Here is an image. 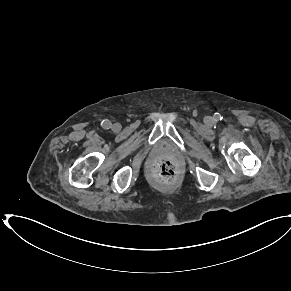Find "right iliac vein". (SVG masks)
Instances as JSON below:
<instances>
[{"mask_svg":"<svg viewBox=\"0 0 291 291\" xmlns=\"http://www.w3.org/2000/svg\"><path fill=\"white\" fill-rule=\"evenodd\" d=\"M120 128H121V126H120L119 123H115V124H113V126H112V130H113V131H119Z\"/></svg>","mask_w":291,"mask_h":291,"instance_id":"63e3f726","label":"right iliac vein"}]
</instances>
